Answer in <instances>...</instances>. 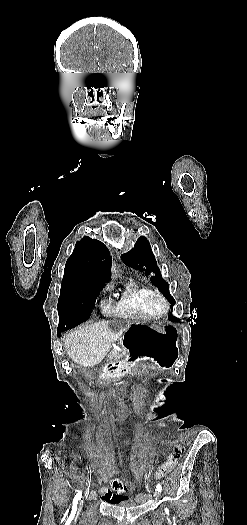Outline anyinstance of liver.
Segmentation results:
<instances>
[{
    "mask_svg": "<svg viewBox=\"0 0 247 525\" xmlns=\"http://www.w3.org/2000/svg\"><path fill=\"white\" fill-rule=\"evenodd\" d=\"M111 333L109 321L84 325L69 333L64 339L67 355L81 367H91L103 361Z\"/></svg>",
    "mask_w": 247,
    "mask_h": 525,
    "instance_id": "6515ba94",
    "label": "liver"
}]
</instances>
